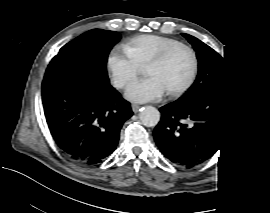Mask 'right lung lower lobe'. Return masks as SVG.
I'll return each mask as SVG.
<instances>
[{
  "label": "right lung lower lobe",
  "instance_id": "98d812e1",
  "mask_svg": "<svg viewBox=\"0 0 270 213\" xmlns=\"http://www.w3.org/2000/svg\"><path fill=\"white\" fill-rule=\"evenodd\" d=\"M42 101L56 144L72 160L102 162L115 149L120 129L133 112L109 83L83 75L45 76Z\"/></svg>",
  "mask_w": 270,
  "mask_h": 213
}]
</instances>
